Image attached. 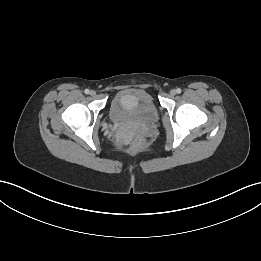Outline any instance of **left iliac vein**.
I'll return each mask as SVG.
<instances>
[{
	"label": "left iliac vein",
	"mask_w": 261,
	"mask_h": 261,
	"mask_svg": "<svg viewBox=\"0 0 261 261\" xmlns=\"http://www.w3.org/2000/svg\"><path fill=\"white\" fill-rule=\"evenodd\" d=\"M176 93H177V92H176L175 89H172V90L170 91V95H172V96H174Z\"/></svg>",
	"instance_id": "left-iliac-vein-1"
}]
</instances>
